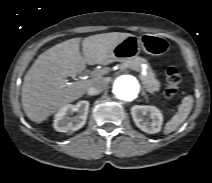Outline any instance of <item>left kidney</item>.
Returning a JSON list of instances; mask_svg holds the SVG:
<instances>
[{
  "instance_id": "obj_1",
  "label": "left kidney",
  "mask_w": 212,
  "mask_h": 183,
  "mask_svg": "<svg viewBox=\"0 0 212 183\" xmlns=\"http://www.w3.org/2000/svg\"><path fill=\"white\" fill-rule=\"evenodd\" d=\"M132 118L138 128L142 131L154 134L161 130L163 124V115L155 106L135 105L131 108ZM148 115V118H144Z\"/></svg>"
}]
</instances>
